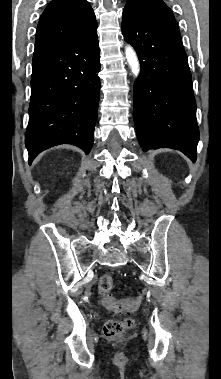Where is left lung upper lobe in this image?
<instances>
[{"mask_svg":"<svg viewBox=\"0 0 221 379\" xmlns=\"http://www.w3.org/2000/svg\"><path fill=\"white\" fill-rule=\"evenodd\" d=\"M127 3H135L145 13L158 20L176 24L172 11L162 0H128Z\"/></svg>","mask_w":221,"mask_h":379,"instance_id":"5c2ea615","label":"left lung upper lobe"}]
</instances>
